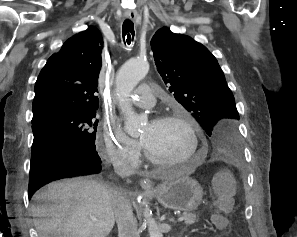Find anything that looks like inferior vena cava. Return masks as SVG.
I'll return each instance as SVG.
<instances>
[{
	"mask_svg": "<svg viewBox=\"0 0 297 237\" xmlns=\"http://www.w3.org/2000/svg\"><path fill=\"white\" fill-rule=\"evenodd\" d=\"M116 172L122 178L130 176L132 173L131 170L125 166L117 167ZM113 209L119 237H140L131 204L119 192H115L113 196Z\"/></svg>",
	"mask_w": 297,
	"mask_h": 237,
	"instance_id": "obj_1",
	"label": "inferior vena cava"
}]
</instances>
